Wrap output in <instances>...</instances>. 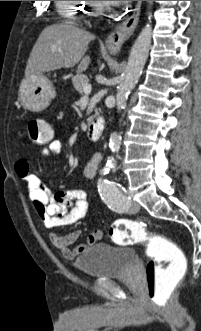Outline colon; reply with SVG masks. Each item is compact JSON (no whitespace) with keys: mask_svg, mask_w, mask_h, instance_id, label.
Returning a JSON list of instances; mask_svg holds the SVG:
<instances>
[{"mask_svg":"<svg viewBox=\"0 0 201 331\" xmlns=\"http://www.w3.org/2000/svg\"><path fill=\"white\" fill-rule=\"evenodd\" d=\"M28 134L32 144L41 146L52 141L53 130L47 121L34 118L28 123ZM110 236L119 245L146 244L150 257L145 268L147 296L158 307H168L186 271V259L178 246L129 219L115 221Z\"/></svg>","mask_w":201,"mask_h":331,"instance_id":"obj_1","label":"colon"}]
</instances>
